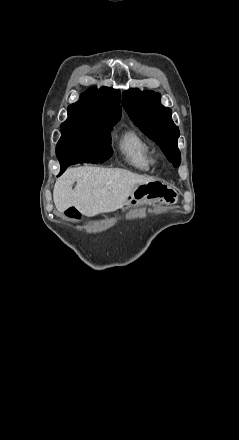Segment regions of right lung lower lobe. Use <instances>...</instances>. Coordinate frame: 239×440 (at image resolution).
I'll return each mask as SVG.
<instances>
[{
    "instance_id": "obj_1",
    "label": "right lung lower lobe",
    "mask_w": 239,
    "mask_h": 440,
    "mask_svg": "<svg viewBox=\"0 0 239 440\" xmlns=\"http://www.w3.org/2000/svg\"><path fill=\"white\" fill-rule=\"evenodd\" d=\"M112 155L111 148L98 146L72 147L57 153L61 166V175L68 166L76 163H98L108 160Z\"/></svg>"
}]
</instances>
